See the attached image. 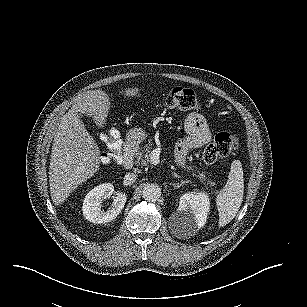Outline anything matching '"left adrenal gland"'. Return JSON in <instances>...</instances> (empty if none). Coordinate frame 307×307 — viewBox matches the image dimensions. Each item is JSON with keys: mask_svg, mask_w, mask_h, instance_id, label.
Wrapping results in <instances>:
<instances>
[{"mask_svg": "<svg viewBox=\"0 0 307 307\" xmlns=\"http://www.w3.org/2000/svg\"><path fill=\"white\" fill-rule=\"evenodd\" d=\"M190 180H181L180 184L178 182L173 183L175 188H180L184 183H188Z\"/></svg>", "mask_w": 307, "mask_h": 307, "instance_id": "1", "label": "left adrenal gland"}]
</instances>
